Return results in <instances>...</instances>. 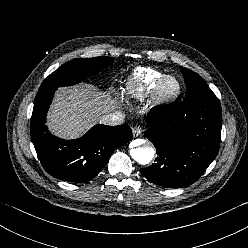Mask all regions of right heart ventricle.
<instances>
[{
    "instance_id": "1",
    "label": "right heart ventricle",
    "mask_w": 248,
    "mask_h": 248,
    "mask_svg": "<svg viewBox=\"0 0 248 248\" xmlns=\"http://www.w3.org/2000/svg\"><path fill=\"white\" fill-rule=\"evenodd\" d=\"M165 76L167 75L155 69L140 68L129 83V92L137 97L145 96L154 91Z\"/></svg>"
}]
</instances>
